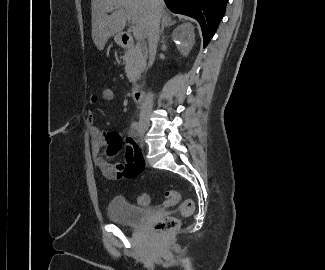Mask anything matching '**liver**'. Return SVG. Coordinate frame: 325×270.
Wrapping results in <instances>:
<instances>
[{
	"mask_svg": "<svg viewBox=\"0 0 325 270\" xmlns=\"http://www.w3.org/2000/svg\"><path fill=\"white\" fill-rule=\"evenodd\" d=\"M164 2L158 0L157 8L164 14ZM117 8L111 15L109 9ZM92 39L99 50H103L108 39L120 33L126 25V14L140 29L144 38L148 37L149 23L154 11L152 0H92Z\"/></svg>",
	"mask_w": 325,
	"mask_h": 270,
	"instance_id": "6515ba94",
	"label": "liver"
}]
</instances>
